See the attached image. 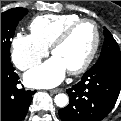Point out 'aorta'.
I'll use <instances>...</instances> for the list:
<instances>
[{
    "mask_svg": "<svg viewBox=\"0 0 121 121\" xmlns=\"http://www.w3.org/2000/svg\"><path fill=\"white\" fill-rule=\"evenodd\" d=\"M54 101L58 107L63 108L65 106H67L69 99L66 94L60 93L55 96Z\"/></svg>",
    "mask_w": 121,
    "mask_h": 121,
    "instance_id": "1",
    "label": "aorta"
}]
</instances>
